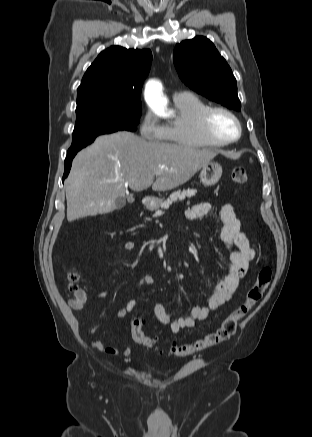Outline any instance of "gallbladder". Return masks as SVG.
<instances>
[{
  "label": "gallbladder",
  "mask_w": 312,
  "mask_h": 437,
  "mask_svg": "<svg viewBox=\"0 0 312 437\" xmlns=\"http://www.w3.org/2000/svg\"><path fill=\"white\" fill-rule=\"evenodd\" d=\"M127 200H128V202L131 203V202L134 201V198H133L132 195H130V196H128ZM116 205H117V208H122L125 205V199L124 198L123 199L122 198L117 199Z\"/></svg>",
  "instance_id": "bac80fb5"
}]
</instances>
